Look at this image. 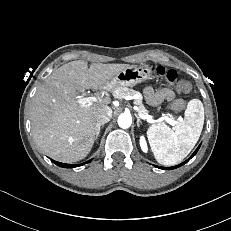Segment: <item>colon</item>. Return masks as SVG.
<instances>
[{"mask_svg":"<svg viewBox=\"0 0 231 231\" xmlns=\"http://www.w3.org/2000/svg\"><path fill=\"white\" fill-rule=\"evenodd\" d=\"M154 71L158 75L164 77L167 83L175 87V89L178 92L187 93L191 90V83L187 80L179 79L178 74L175 70L172 69L168 70L163 66H157L156 68H154ZM184 107H185V101L183 99H177L171 105V109L174 112H180Z\"/></svg>","mask_w":231,"mask_h":231,"instance_id":"1","label":"colon"}]
</instances>
